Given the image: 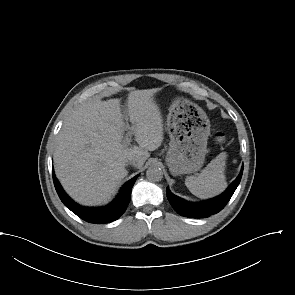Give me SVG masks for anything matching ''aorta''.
<instances>
[{"instance_id": "aorta-1", "label": "aorta", "mask_w": 295, "mask_h": 295, "mask_svg": "<svg viewBox=\"0 0 295 295\" xmlns=\"http://www.w3.org/2000/svg\"><path fill=\"white\" fill-rule=\"evenodd\" d=\"M146 176L148 180L153 182L161 181L163 178L162 170L157 166H151L146 171Z\"/></svg>"}]
</instances>
